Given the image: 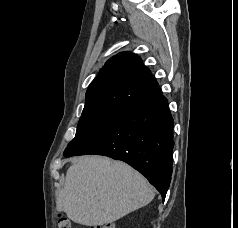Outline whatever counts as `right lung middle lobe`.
Instances as JSON below:
<instances>
[{"mask_svg":"<svg viewBox=\"0 0 238 228\" xmlns=\"http://www.w3.org/2000/svg\"><path fill=\"white\" fill-rule=\"evenodd\" d=\"M120 116V114L116 113L108 114L82 112L76 135L65 149L64 155L74 152Z\"/></svg>","mask_w":238,"mask_h":228,"instance_id":"obj_1","label":"right lung middle lobe"}]
</instances>
